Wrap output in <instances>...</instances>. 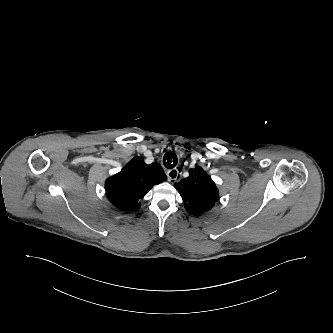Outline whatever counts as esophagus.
<instances>
[{
  "mask_svg": "<svg viewBox=\"0 0 333 333\" xmlns=\"http://www.w3.org/2000/svg\"><path fill=\"white\" fill-rule=\"evenodd\" d=\"M179 170H180V166H178L177 168L168 170L167 176H168V180L170 182H177L181 179V173H179Z\"/></svg>",
  "mask_w": 333,
  "mask_h": 333,
  "instance_id": "34e87169",
  "label": "esophagus"
}]
</instances>
